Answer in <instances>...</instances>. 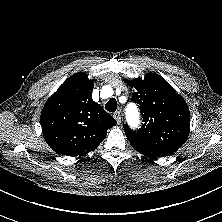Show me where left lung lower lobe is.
<instances>
[{"instance_id":"1","label":"left lung lower lobe","mask_w":222,"mask_h":222,"mask_svg":"<svg viewBox=\"0 0 222 222\" xmlns=\"http://www.w3.org/2000/svg\"><path fill=\"white\" fill-rule=\"evenodd\" d=\"M131 145L141 154L152 158L168 156L178 150V148L173 147H151L138 143H131Z\"/></svg>"}]
</instances>
